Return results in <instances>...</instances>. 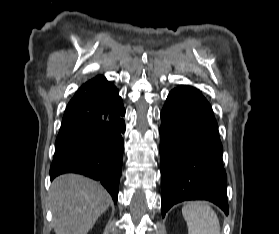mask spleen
I'll list each match as a JSON object with an SVG mask.
<instances>
[{
    "label": "spleen",
    "instance_id": "3e777b00",
    "mask_svg": "<svg viewBox=\"0 0 279 234\" xmlns=\"http://www.w3.org/2000/svg\"><path fill=\"white\" fill-rule=\"evenodd\" d=\"M188 234H220V224L215 211L205 202H189L182 208Z\"/></svg>",
    "mask_w": 279,
    "mask_h": 234
}]
</instances>
